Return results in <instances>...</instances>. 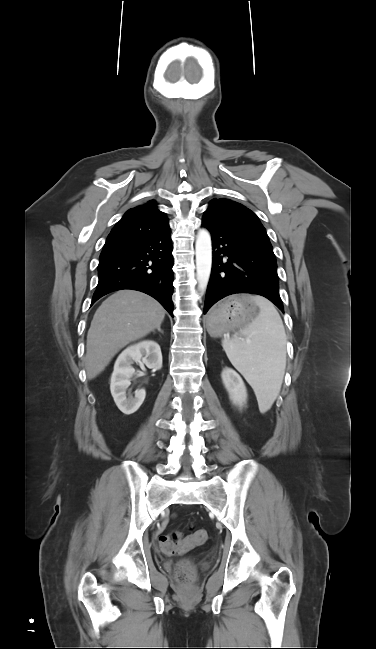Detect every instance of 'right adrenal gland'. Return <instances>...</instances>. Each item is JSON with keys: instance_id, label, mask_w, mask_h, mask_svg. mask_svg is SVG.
<instances>
[{"instance_id": "1", "label": "right adrenal gland", "mask_w": 376, "mask_h": 649, "mask_svg": "<svg viewBox=\"0 0 376 649\" xmlns=\"http://www.w3.org/2000/svg\"><path fill=\"white\" fill-rule=\"evenodd\" d=\"M157 330H158V332H160L161 334H163V331L161 330L160 327H158ZM153 332H155V330H153Z\"/></svg>"}]
</instances>
